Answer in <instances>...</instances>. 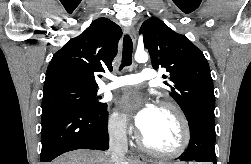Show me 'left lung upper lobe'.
<instances>
[{
    "mask_svg": "<svg viewBox=\"0 0 251 164\" xmlns=\"http://www.w3.org/2000/svg\"><path fill=\"white\" fill-rule=\"evenodd\" d=\"M140 33L153 68L164 67L170 73L171 85L164 83L171 88L170 95L186 118L198 111L214 114L213 80L203 52L155 17L142 24Z\"/></svg>",
    "mask_w": 251,
    "mask_h": 164,
    "instance_id": "1",
    "label": "left lung upper lobe"
}]
</instances>
